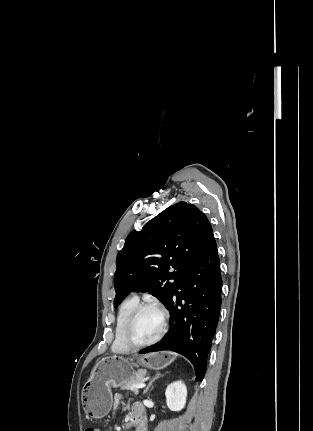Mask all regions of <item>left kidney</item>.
Segmentation results:
<instances>
[{
  "instance_id": "1",
  "label": "left kidney",
  "mask_w": 313,
  "mask_h": 431,
  "mask_svg": "<svg viewBox=\"0 0 313 431\" xmlns=\"http://www.w3.org/2000/svg\"><path fill=\"white\" fill-rule=\"evenodd\" d=\"M165 396L166 404L171 411H181L186 404V385L181 380L171 383L165 391Z\"/></svg>"
}]
</instances>
